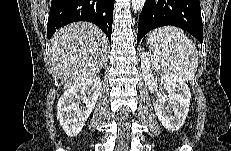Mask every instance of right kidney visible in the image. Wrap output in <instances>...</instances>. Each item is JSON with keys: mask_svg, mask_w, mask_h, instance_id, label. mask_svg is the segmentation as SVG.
<instances>
[{"mask_svg": "<svg viewBox=\"0 0 231 151\" xmlns=\"http://www.w3.org/2000/svg\"><path fill=\"white\" fill-rule=\"evenodd\" d=\"M101 79L94 77L67 89L57 104V118L71 137L77 136L98 100ZM82 98V101H80Z\"/></svg>", "mask_w": 231, "mask_h": 151, "instance_id": "obj_1", "label": "right kidney"}]
</instances>
